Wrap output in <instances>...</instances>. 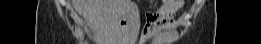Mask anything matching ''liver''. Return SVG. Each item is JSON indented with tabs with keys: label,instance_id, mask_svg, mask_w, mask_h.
<instances>
[{
	"label": "liver",
	"instance_id": "1",
	"mask_svg": "<svg viewBox=\"0 0 261 44\" xmlns=\"http://www.w3.org/2000/svg\"><path fill=\"white\" fill-rule=\"evenodd\" d=\"M73 4L94 32L100 34L98 42L102 43L99 44H130L135 42L138 34V31L131 30H142V25H138V9L133 6L132 0H74ZM115 30L121 31L117 35Z\"/></svg>",
	"mask_w": 261,
	"mask_h": 44
}]
</instances>
